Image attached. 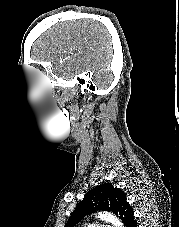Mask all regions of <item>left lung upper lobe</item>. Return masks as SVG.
Segmentation results:
<instances>
[{
	"label": "left lung upper lobe",
	"mask_w": 179,
	"mask_h": 227,
	"mask_svg": "<svg viewBox=\"0 0 179 227\" xmlns=\"http://www.w3.org/2000/svg\"><path fill=\"white\" fill-rule=\"evenodd\" d=\"M98 210L112 211L119 216L125 227H136L137 225L133 215L134 211L126 201L125 193L110 183H104L85 194L83 200L72 212L65 227H74L85 215Z\"/></svg>",
	"instance_id": "left-lung-upper-lobe-1"
}]
</instances>
